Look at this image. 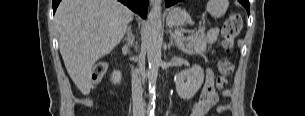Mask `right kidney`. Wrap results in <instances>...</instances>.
Wrapping results in <instances>:
<instances>
[{"instance_id":"1","label":"right kidney","mask_w":305,"mask_h":116,"mask_svg":"<svg viewBox=\"0 0 305 116\" xmlns=\"http://www.w3.org/2000/svg\"><path fill=\"white\" fill-rule=\"evenodd\" d=\"M111 81L114 84H119L120 81H121V73L119 71L114 70L113 73H112Z\"/></svg>"}]
</instances>
